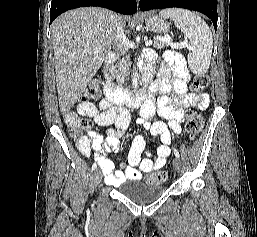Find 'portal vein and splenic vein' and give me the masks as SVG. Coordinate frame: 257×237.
<instances>
[{
    "instance_id": "portal-vein-and-splenic-vein-1",
    "label": "portal vein and splenic vein",
    "mask_w": 257,
    "mask_h": 237,
    "mask_svg": "<svg viewBox=\"0 0 257 237\" xmlns=\"http://www.w3.org/2000/svg\"><path fill=\"white\" fill-rule=\"evenodd\" d=\"M159 39L160 41L170 45L173 49H180V48H184V47H189V44H188V41L187 40H184L183 42H180V43H172L169 39L167 38H157ZM152 41H146L145 42V45L146 46H150L152 45Z\"/></svg>"
}]
</instances>
